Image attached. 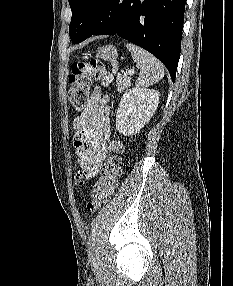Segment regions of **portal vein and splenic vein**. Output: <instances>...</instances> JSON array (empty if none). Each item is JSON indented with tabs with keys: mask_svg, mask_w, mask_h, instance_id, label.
Segmentation results:
<instances>
[{
	"mask_svg": "<svg viewBox=\"0 0 233 286\" xmlns=\"http://www.w3.org/2000/svg\"><path fill=\"white\" fill-rule=\"evenodd\" d=\"M133 73H134L133 71L128 70V71H125V72H124V75H125V76H129V75H131V74H133Z\"/></svg>",
	"mask_w": 233,
	"mask_h": 286,
	"instance_id": "1",
	"label": "portal vein and splenic vein"
}]
</instances>
